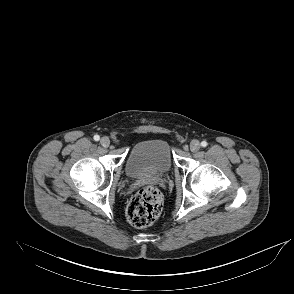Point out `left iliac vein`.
Wrapping results in <instances>:
<instances>
[{"label": "left iliac vein", "instance_id": "left-iliac-vein-1", "mask_svg": "<svg viewBox=\"0 0 294 294\" xmlns=\"http://www.w3.org/2000/svg\"><path fill=\"white\" fill-rule=\"evenodd\" d=\"M190 149L192 152H197L200 149V143L197 140H193L190 143Z\"/></svg>", "mask_w": 294, "mask_h": 294}]
</instances>
